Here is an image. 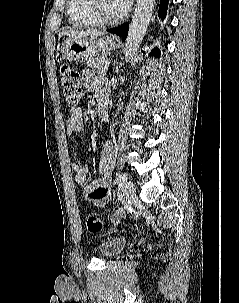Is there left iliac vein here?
Instances as JSON below:
<instances>
[{
  "label": "left iliac vein",
  "instance_id": "1",
  "mask_svg": "<svg viewBox=\"0 0 239 303\" xmlns=\"http://www.w3.org/2000/svg\"><path fill=\"white\" fill-rule=\"evenodd\" d=\"M125 196L130 205L136 200V190L132 182L127 181L125 185Z\"/></svg>",
  "mask_w": 239,
  "mask_h": 303
}]
</instances>
